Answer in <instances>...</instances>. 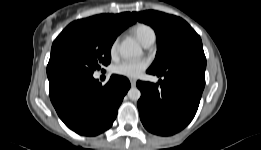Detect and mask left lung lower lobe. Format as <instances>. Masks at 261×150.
Segmentation results:
<instances>
[{
	"instance_id": "1",
	"label": "left lung lower lobe",
	"mask_w": 261,
	"mask_h": 150,
	"mask_svg": "<svg viewBox=\"0 0 261 150\" xmlns=\"http://www.w3.org/2000/svg\"><path fill=\"white\" fill-rule=\"evenodd\" d=\"M206 58L189 53L174 60L165 70L147 73L163 76L157 84L137 82L140 119L151 133L169 136L185 128L198 109L205 86Z\"/></svg>"
}]
</instances>
